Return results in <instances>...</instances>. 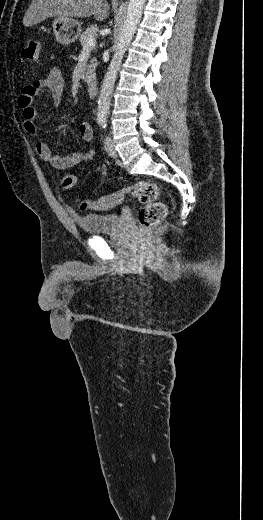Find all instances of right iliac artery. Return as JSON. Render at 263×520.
Here are the masks:
<instances>
[{
	"instance_id": "right-iliac-artery-1",
	"label": "right iliac artery",
	"mask_w": 263,
	"mask_h": 520,
	"mask_svg": "<svg viewBox=\"0 0 263 520\" xmlns=\"http://www.w3.org/2000/svg\"><path fill=\"white\" fill-rule=\"evenodd\" d=\"M99 125H100V126L103 125V121H99Z\"/></svg>"
}]
</instances>
